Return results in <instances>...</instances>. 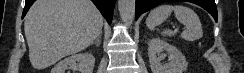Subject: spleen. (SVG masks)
Listing matches in <instances>:
<instances>
[{
	"mask_svg": "<svg viewBox=\"0 0 244 73\" xmlns=\"http://www.w3.org/2000/svg\"><path fill=\"white\" fill-rule=\"evenodd\" d=\"M174 12L176 19L185 26L181 33V38L192 42L203 36L202 25L198 15L189 7L182 5L163 4L154 8L146 19V25L150 30L163 23ZM163 36H173L174 32L165 30L161 33Z\"/></svg>",
	"mask_w": 244,
	"mask_h": 73,
	"instance_id": "spleen-1",
	"label": "spleen"
}]
</instances>
